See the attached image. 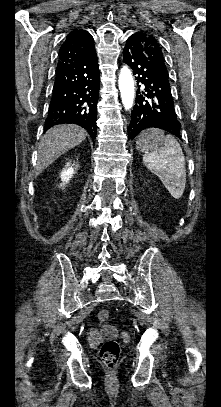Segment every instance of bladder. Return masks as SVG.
<instances>
[{
  "mask_svg": "<svg viewBox=\"0 0 221 407\" xmlns=\"http://www.w3.org/2000/svg\"><path fill=\"white\" fill-rule=\"evenodd\" d=\"M103 332L109 336H114L117 332V329L112 324H107L103 327Z\"/></svg>",
  "mask_w": 221,
  "mask_h": 407,
  "instance_id": "31cf9c89",
  "label": "bladder"
}]
</instances>
